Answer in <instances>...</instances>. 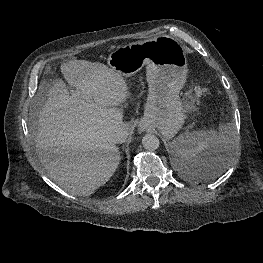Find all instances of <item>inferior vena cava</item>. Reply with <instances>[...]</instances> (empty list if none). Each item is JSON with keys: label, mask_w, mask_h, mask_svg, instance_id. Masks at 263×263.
<instances>
[{"label": "inferior vena cava", "mask_w": 263, "mask_h": 263, "mask_svg": "<svg viewBox=\"0 0 263 263\" xmlns=\"http://www.w3.org/2000/svg\"><path fill=\"white\" fill-rule=\"evenodd\" d=\"M128 137V129L125 124H120L113 129L111 139L115 144L122 143Z\"/></svg>", "instance_id": "inferior-vena-cava-1"}]
</instances>
